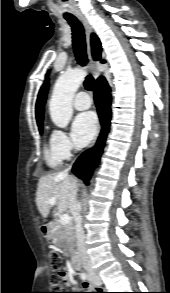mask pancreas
<instances>
[{
	"mask_svg": "<svg viewBox=\"0 0 170 293\" xmlns=\"http://www.w3.org/2000/svg\"><path fill=\"white\" fill-rule=\"evenodd\" d=\"M51 232V238L56 244H64L69 248L68 250L71 254L74 253L75 228L72 222L67 225H62L60 221L57 220L54 222Z\"/></svg>",
	"mask_w": 170,
	"mask_h": 293,
	"instance_id": "obj_1",
	"label": "pancreas"
}]
</instances>
